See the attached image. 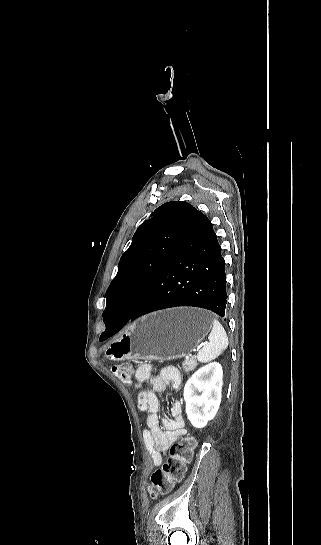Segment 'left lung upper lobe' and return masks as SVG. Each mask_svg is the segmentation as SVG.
<instances>
[{"label":"left lung upper lobe","mask_w":321,"mask_h":545,"mask_svg":"<svg viewBox=\"0 0 321 545\" xmlns=\"http://www.w3.org/2000/svg\"><path fill=\"white\" fill-rule=\"evenodd\" d=\"M194 210L184 201L167 202L138 227L107 289L104 322L114 310L130 313L140 304L164 268Z\"/></svg>","instance_id":"obj_1"}]
</instances>
